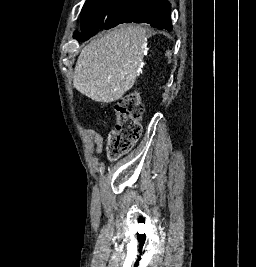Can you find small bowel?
I'll return each mask as SVG.
<instances>
[{"instance_id":"small-bowel-1","label":"small bowel","mask_w":256,"mask_h":267,"mask_svg":"<svg viewBox=\"0 0 256 267\" xmlns=\"http://www.w3.org/2000/svg\"><path fill=\"white\" fill-rule=\"evenodd\" d=\"M93 140L97 145V153H101L102 139L98 134H93Z\"/></svg>"}]
</instances>
